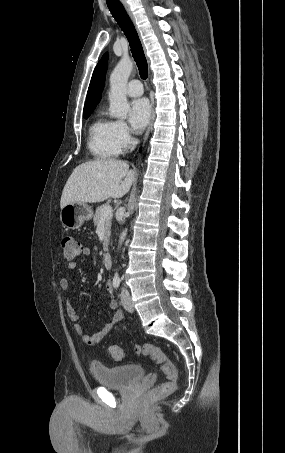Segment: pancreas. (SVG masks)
Here are the masks:
<instances>
[{
    "instance_id": "cf45deb5",
    "label": "pancreas",
    "mask_w": 285,
    "mask_h": 453,
    "mask_svg": "<svg viewBox=\"0 0 285 453\" xmlns=\"http://www.w3.org/2000/svg\"><path fill=\"white\" fill-rule=\"evenodd\" d=\"M106 206H108V205L99 206L96 209V212L93 217V222H94L95 226H97L101 220H104V226H105V241L103 243L104 251H107V248H108V241H109V237H110L111 220H112V214L107 217H102V210Z\"/></svg>"
}]
</instances>
